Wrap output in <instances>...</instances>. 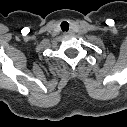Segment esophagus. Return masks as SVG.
I'll use <instances>...</instances> for the list:
<instances>
[{"instance_id": "obj_1", "label": "esophagus", "mask_w": 127, "mask_h": 127, "mask_svg": "<svg viewBox=\"0 0 127 127\" xmlns=\"http://www.w3.org/2000/svg\"><path fill=\"white\" fill-rule=\"evenodd\" d=\"M64 34H65V35H73L74 32H73L72 30H70V31H68V32H65Z\"/></svg>"}]
</instances>
